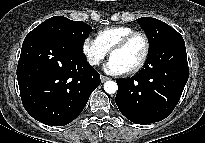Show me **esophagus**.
Instances as JSON below:
<instances>
[{"label": "esophagus", "instance_id": "1", "mask_svg": "<svg viewBox=\"0 0 205 143\" xmlns=\"http://www.w3.org/2000/svg\"><path fill=\"white\" fill-rule=\"evenodd\" d=\"M100 79H101V82L103 83V82L109 80V77L104 76V75H101V76H100Z\"/></svg>", "mask_w": 205, "mask_h": 143}]
</instances>
